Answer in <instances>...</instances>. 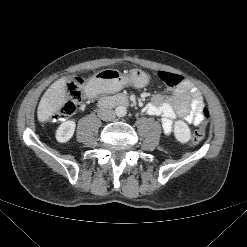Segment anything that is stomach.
Instances as JSON below:
<instances>
[{"label": "stomach", "mask_w": 247, "mask_h": 247, "mask_svg": "<svg viewBox=\"0 0 247 247\" xmlns=\"http://www.w3.org/2000/svg\"><path fill=\"white\" fill-rule=\"evenodd\" d=\"M149 83L148 75L138 69H134L128 75H122L115 70H102L96 73L88 82V85L96 91H113L126 85L142 88Z\"/></svg>", "instance_id": "1"}]
</instances>
